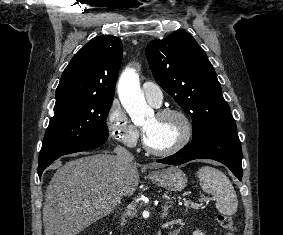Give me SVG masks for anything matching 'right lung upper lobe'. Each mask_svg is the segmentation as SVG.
I'll return each mask as SVG.
<instances>
[{"label":"right lung upper lobe","instance_id":"cb5924a9","mask_svg":"<svg viewBox=\"0 0 283 235\" xmlns=\"http://www.w3.org/2000/svg\"><path fill=\"white\" fill-rule=\"evenodd\" d=\"M122 52L118 37L104 35L89 41L63 71L56 102L74 97L113 99Z\"/></svg>","mask_w":283,"mask_h":235}]
</instances>
